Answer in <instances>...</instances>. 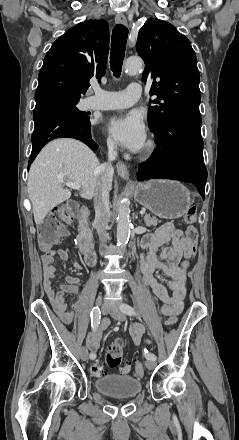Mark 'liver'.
<instances>
[{
  "label": "liver",
  "mask_w": 239,
  "mask_h": 440,
  "mask_svg": "<svg viewBox=\"0 0 239 440\" xmlns=\"http://www.w3.org/2000/svg\"><path fill=\"white\" fill-rule=\"evenodd\" d=\"M99 166L94 152L78 140L57 138L44 146L30 168L27 184L35 224L39 226L52 208L69 200L71 192L58 178L79 184L81 198L92 200Z\"/></svg>",
  "instance_id": "1"
}]
</instances>
